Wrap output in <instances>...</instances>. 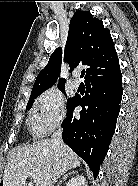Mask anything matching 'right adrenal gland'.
I'll return each instance as SVG.
<instances>
[{"mask_svg":"<svg viewBox=\"0 0 138 186\" xmlns=\"http://www.w3.org/2000/svg\"><path fill=\"white\" fill-rule=\"evenodd\" d=\"M75 173H78V171L75 169L69 171L67 174L64 175V177L60 180V182L58 183L57 186H60L62 184V182L69 177V175L75 174Z\"/></svg>","mask_w":138,"mask_h":186,"instance_id":"1","label":"right adrenal gland"}]
</instances>
